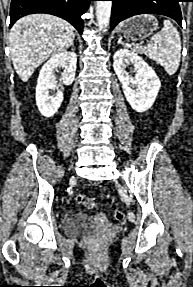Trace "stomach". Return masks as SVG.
<instances>
[{"mask_svg":"<svg viewBox=\"0 0 193 287\" xmlns=\"http://www.w3.org/2000/svg\"><path fill=\"white\" fill-rule=\"evenodd\" d=\"M158 28L157 19L152 15H139L122 22L117 32L120 37L132 41L150 36Z\"/></svg>","mask_w":193,"mask_h":287,"instance_id":"obj_1","label":"stomach"}]
</instances>
